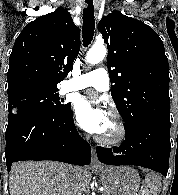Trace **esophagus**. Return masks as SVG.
<instances>
[{
	"label": "esophagus",
	"instance_id": "1",
	"mask_svg": "<svg viewBox=\"0 0 178 195\" xmlns=\"http://www.w3.org/2000/svg\"><path fill=\"white\" fill-rule=\"evenodd\" d=\"M91 166L92 167H100L102 166V164L99 162L97 154H96V150L94 147H92L91 149Z\"/></svg>",
	"mask_w": 178,
	"mask_h": 195
}]
</instances>
